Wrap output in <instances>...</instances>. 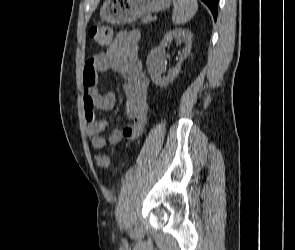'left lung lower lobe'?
<instances>
[{
    "instance_id": "left-lung-lower-lobe-1",
    "label": "left lung lower lobe",
    "mask_w": 295,
    "mask_h": 250,
    "mask_svg": "<svg viewBox=\"0 0 295 250\" xmlns=\"http://www.w3.org/2000/svg\"><path fill=\"white\" fill-rule=\"evenodd\" d=\"M202 2H204L209 9L211 10L214 19H217V7H218V0H201Z\"/></svg>"
}]
</instances>
